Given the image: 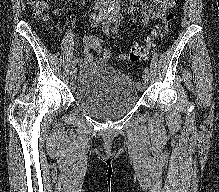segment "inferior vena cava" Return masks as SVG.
<instances>
[{
    "label": "inferior vena cava",
    "instance_id": "1",
    "mask_svg": "<svg viewBox=\"0 0 219 192\" xmlns=\"http://www.w3.org/2000/svg\"><path fill=\"white\" fill-rule=\"evenodd\" d=\"M97 1L101 2L102 4L106 3V0H97Z\"/></svg>",
    "mask_w": 219,
    "mask_h": 192
}]
</instances>
